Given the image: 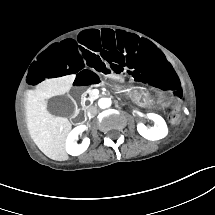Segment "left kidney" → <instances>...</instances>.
Segmentation results:
<instances>
[{
    "mask_svg": "<svg viewBox=\"0 0 215 215\" xmlns=\"http://www.w3.org/2000/svg\"><path fill=\"white\" fill-rule=\"evenodd\" d=\"M147 117L153 120L155 123L154 127L147 128L143 123L137 125L138 133L151 141L160 140L167 136L168 128L165 120L158 114L148 113Z\"/></svg>",
    "mask_w": 215,
    "mask_h": 215,
    "instance_id": "1",
    "label": "left kidney"
}]
</instances>
